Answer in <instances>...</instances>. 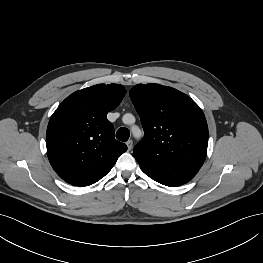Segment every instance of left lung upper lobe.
Returning <instances> with one entry per match:
<instances>
[{
    "label": "left lung upper lobe",
    "instance_id": "left-lung-upper-lobe-1",
    "mask_svg": "<svg viewBox=\"0 0 263 263\" xmlns=\"http://www.w3.org/2000/svg\"><path fill=\"white\" fill-rule=\"evenodd\" d=\"M144 138L133 156L148 172L173 164L197 173L205 161L208 127L200 107L186 94L159 84H138L129 92Z\"/></svg>",
    "mask_w": 263,
    "mask_h": 263
}]
</instances>
